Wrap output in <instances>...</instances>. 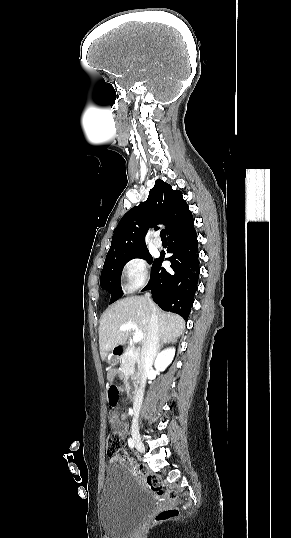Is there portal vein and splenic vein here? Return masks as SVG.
I'll return each instance as SVG.
<instances>
[{
  "label": "portal vein and splenic vein",
  "instance_id": "1",
  "mask_svg": "<svg viewBox=\"0 0 291 538\" xmlns=\"http://www.w3.org/2000/svg\"><path fill=\"white\" fill-rule=\"evenodd\" d=\"M119 329L121 331L135 330V333L133 335V342H135V343L140 342L142 340V338H143L142 331L138 329V327H137V325L135 323H132V322L124 323L123 325H121L119 327Z\"/></svg>",
  "mask_w": 291,
  "mask_h": 538
}]
</instances>
